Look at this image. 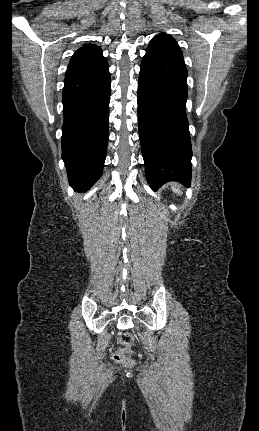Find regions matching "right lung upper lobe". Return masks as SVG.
Wrapping results in <instances>:
<instances>
[{
	"instance_id": "1",
	"label": "right lung upper lobe",
	"mask_w": 259,
	"mask_h": 431,
	"mask_svg": "<svg viewBox=\"0 0 259 431\" xmlns=\"http://www.w3.org/2000/svg\"><path fill=\"white\" fill-rule=\"evenodd\" d=\"M105 63H107V60L102 55L100 47L94 44L85 45L73 54L66 75L93 69Z\"/></svg>"
}]
</instances>
